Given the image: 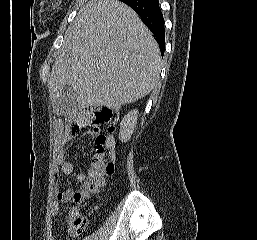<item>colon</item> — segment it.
I'll return each instance as SVG.
<instances>
[{
	"instance_id": "5ec220e1",
	"label": "colon",
	"mask_w": 257,
	"mask_h": 240,
	"mask_svg": "<svg viewBox=\"0 0 257 240\" xmlns=\"http://www.w3.org/2000/svg\"><path fill=\"white\" fill-rule=\"evenodd\" d=\"M89 123L93 126L95 133L96 151L92 159L88 177L82 187L75 191L72 196L74 202H80L87 196L98 191L104 184L105 177L115 171V162L110 152L106 150L108 137L102 132L105 127L108 133L114 130V116L110 109H94L89 113ZM79 127L78 125L76 126ZM72 229L80 232L85 228L86 219L75 209L71 210Z\"/></svg>"
}]
</instances>
